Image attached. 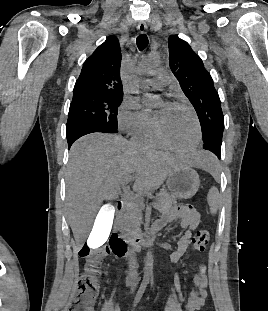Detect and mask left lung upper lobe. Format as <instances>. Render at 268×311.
I'll list each match as a JSON object with an SVG mask.
<instances>
[{
  "instance_id": "1",
  "label": "left lung upper lobe",
  "mask_w": 268,
  "mask_h": 311,
  "mask_svg": "<svg viewBox=\"0 0 268 311\" xmlns=\"http://www.w3.org/2000/svg\"><path fill=\"white\" fill-rule=\"evenodd\" d=\"M168 44L170 69L197 112L203 142L222 143L224 116L210 73L186 41L173 35Z\"/></svg>"
}]
</instances>
